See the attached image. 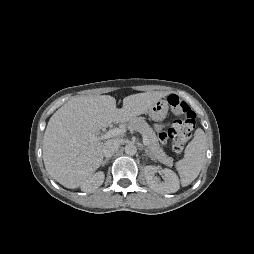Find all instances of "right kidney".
Wrapping results in <instances>:
<instances>
[{"label":"right kidney","instance_id":"ca27d5eb","mask_svg":"<svg viewBox=\"0 0 254 254\" xmlns=\"http://www.w3.org/2000/svg\"><path fill=\"white\" fill-rule=\"evenodd\" d=\"M105 175L102 171L97 172L92 175L91 178H89L82 186V190L86 192L93 191L100 187L104 182Z\"/></svg>","mask_w":254,"mask_h":254}]
</instances>
